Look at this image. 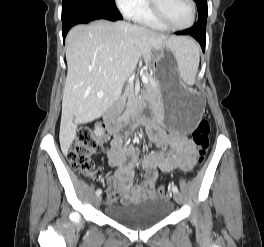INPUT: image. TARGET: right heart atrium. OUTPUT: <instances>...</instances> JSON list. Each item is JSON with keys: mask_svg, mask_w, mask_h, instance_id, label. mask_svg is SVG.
<instances>
[{"mask_svg": "<svg viewBox=\"0 0 264 247\" xmlns=\"http://www.w3.org/2000/svg\"><path fill=\"white\" fill-rule=\"evenodd\" d=\"M145 2L146 0H115L117 7L125 16H132Z\"/></svg>", "mask_w": 264, "mask_h": 247, "instance_id": "d8ad5b80", "label": "right heart atrium"}]
</instances>
